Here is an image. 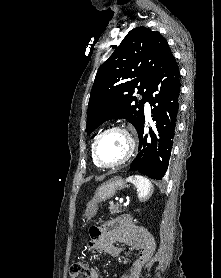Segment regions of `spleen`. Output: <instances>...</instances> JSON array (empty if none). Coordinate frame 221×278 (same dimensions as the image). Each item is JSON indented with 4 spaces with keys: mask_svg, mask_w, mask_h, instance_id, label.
Wrapping results in <instances>:
<instances>
[{
    "mask_svg": "<svg viewBox=\"0 0 221 278\" xmlns=\"http://www.w3.org/2000/svg\"><path fill=\"white\" fill-rule=\"evenodd\" d=\"M128 182L133 183L138 190V198L144 201L149 198L153 191L152 183L144 176L136 175L130 176L126 179Z\"/></svg>",
    "mask_w": 221,
    "mask_h": 278,
    "instance_id": "spleen-1",
    "label": "spleen"
}]
</instances>
